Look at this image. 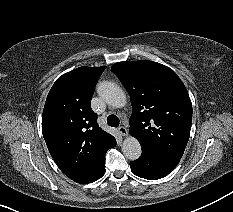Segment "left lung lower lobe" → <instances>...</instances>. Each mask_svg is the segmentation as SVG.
Returning a JSON list of instances; mask_svg holds the SVG:
<instances>
[{"mask_svg":"<svg viewBox=\"0 0 233 212\" xmlns=\"http://www.w3.org/2000/svg\"><path fill=\"white\" fill-rule=\"evenodd\" d=\"M180 159L172 158L146 147L142 155L130 162L131 171L138 177L157 180L168 175L177 166Z\"/></svg>","mask_w":233,"mask_h":212,"instance_id":"1","label":"left lung lower lobe"}]
</instances>
